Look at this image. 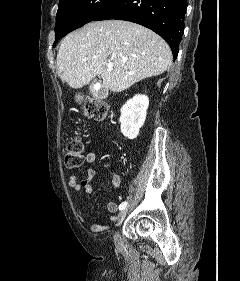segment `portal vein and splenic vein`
<instances>
[{"label":"portal vein and splenic vein","mask_w":240,"mask_h":281,"mask_svg":"<svg viewBox=\"0 0 240 281\" xmlns=\"http://www.w3.org/2000/svg\"><path fill=\"white\" fill-rule=\"evenodd\" d=\"M112 68H113V63H108L107 64V69L109 70V71H111L112 70Z\"/></svg>","instance_id":"portal-vein-and-splenic-vein-1"}]
</instances>
